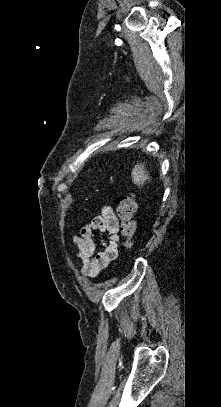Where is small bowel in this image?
Segmentation results:
<instances>
[{
	"label": "small bowel",
	"mask_w": 221,
	"mask_h": 407,
	"mask_svg": "<svg viewBox=\"0 0 221 407\" xmlns=\"http://www.w3.org/2000/svg\"><path fill=\"white\" fill-rule=\"evenodd\" d=\"M118 225L119 220L113 209L104 206L100 215L81 226L79 234L72 237L75 255L82 263L83 276L96 277L117 257ZM96 232L108 236L102 241V251L97 250L94 240Z\"/></svg>",
	"instance_id": "small-bowel-1"
}]
</instances>
